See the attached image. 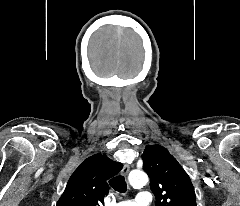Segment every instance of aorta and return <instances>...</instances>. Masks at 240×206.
I'll return each instance as SVG.
<instances>
[{
  "mask_svg": "<svg viewBox=\"0 0 240 206\" xmlns=\"http://www.w3.org/2000/svg\"><path fill=\"white\" fill-rule=\"evenodd\" d=\"M148 182V176L143 171L134 170L129 174V183L133 187H143Z\"/></svg>",
  "mask_w": 240,
  "mask_h": 206,
  "instance_id": "1",
  "label": "aorta"
}]
</instances>
